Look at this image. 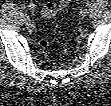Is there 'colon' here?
<instances>
[{
    "instance_id": "colon-1",
    "label": "colon",
    "mask_w": 111,
    "mask_h": 106,
    "mask_svg": "<svg viewBox=\"0 0 111 106\" xmlns=\"http://www.w3.org/2000/svg\"><path fill=\"white\" fill-rule=\"evenodd\" d=\"M40 45L46 52L49 51V42L46 39H42Z\"/></svg>"
}]
</instances>
